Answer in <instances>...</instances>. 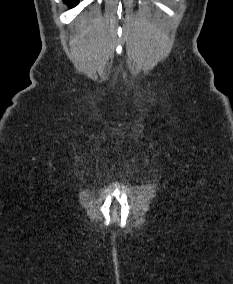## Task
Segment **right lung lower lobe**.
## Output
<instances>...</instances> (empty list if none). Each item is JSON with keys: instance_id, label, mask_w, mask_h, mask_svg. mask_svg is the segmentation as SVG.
Returning <instances> with one entry per match:
<instances>
[{"instance_id": "right-lung-lower-lobe-1", "label": "right lung lower lobe", "mask_w": 233, "mask_h": 284, "mask_svg": "<svg viewBox=\"0 0 233 284\" xmlns=\"http://www.w3.org/2000/svg\"><path fill=\"white\" fill-rule=\"evenodd\" d=\"M63 1L69 6V8L75 7L79 3V0H63Z\"/></svg>"}]
</instances>
